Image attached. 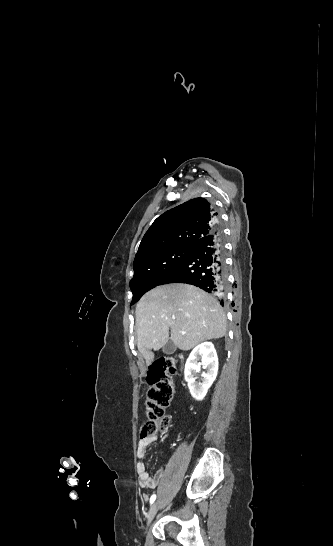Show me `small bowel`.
Returning <instances> with one entry per match:
<instances>
[{
	"label": "small bowel",
	"mask_w": 333,
	"mask_h": 546,
	"mask_svg": "<svg viewBox=\"0 0 333 546\" xmlns=\"http://www.w3.org/2000/svg\"><path fill=\"white\" fill-rule=\"evenodd\" d=\"M156 440H158V437L154 435L149 438H143L139 441L138 448H137V455L140 459H143L146 456L148 446ZM165 471H166V468L161 467L155 473V475L152 476L147 471V466L145 463L143 462L138 463L137 472H138L140 487L144 489H148V490L155 489L157 485L159 484V481L161 480V478L164 476ZM143 500L144 502L148 500L147 493L143 495Z\"/></svg>",
	"instance_id": "obj_1"
}]
</instances>
